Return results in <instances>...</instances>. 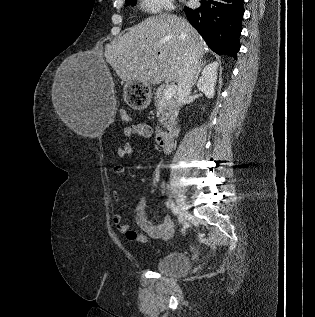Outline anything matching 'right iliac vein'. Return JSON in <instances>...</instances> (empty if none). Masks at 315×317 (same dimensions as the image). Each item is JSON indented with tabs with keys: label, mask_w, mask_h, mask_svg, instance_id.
I'll return each instance as SVG.
<instances>
[{
	"label": "right iliac vein",
	"mask_w": 315,
	"mask_h": 317,
	"mask_svg": "<svg viewBox=\"0 0 315 317\" xmlns=\"http://www.w3.org/2000/svg\"><path fill=\"white\" fill-rule=\"evenodd\" d=\"M177 209L179 214V222L183 223L187 213L186 203L183 197H179L177 201Z\"/></svg>",
	"instance_id": "63e3f726"
}]
</instances>
